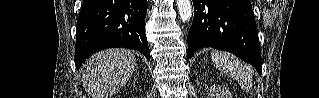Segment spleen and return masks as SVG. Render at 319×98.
<instances>
[{
  "instance_id": "3e777b00",
  "label": "spleen",
  "mask_w": 319,
  "mask_h": 98,
  "mask_svg": "<svg viewBox=\"0 0 319 98\" xmlns=\"http://www.w3.org/2000/svg\"><path fill=\"white\" fill-rule=\"evenodd\" d=\"M211 57L214 66L221 72H226L232 76L243 89L250 88L253 77L248 65L226 52H214Z\"/></svg>"
}]
</instances>
